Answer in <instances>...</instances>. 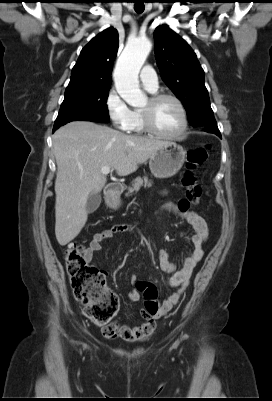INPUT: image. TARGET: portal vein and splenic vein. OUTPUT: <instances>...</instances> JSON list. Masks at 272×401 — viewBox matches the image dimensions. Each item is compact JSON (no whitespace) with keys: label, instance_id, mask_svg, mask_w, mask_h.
Masks as SVG:
<instances>
[{"label":"portal vein and splenic vein","instance_id":"portal-vein-and-splenic-vein-1","mask_svg":"<svg viewBox=\"0 0 272 401\" xmlns=\"http://www.w3.org/2000/svg\"><path fill=\"white\" fill-rule=\"evenodd\" d=\"M110 171H111V168H110V167H102V168H101V172H102V174H104V175L109 174Z\"/></svg>","mask_w":272,"mask_h":401}]
</instances>
